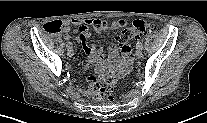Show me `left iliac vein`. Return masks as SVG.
Masks as SVG:
<instances>
[{"label": "left iliac vein", "mask_w": 207, "mask_h": 123, "mask_svg": "<svg viewBox=\"0 0 207 123\" xmlns=\"http://www.w3.org/2000/svg\"><path fill=\"white\" fill-rule=\"evenodd\" d=\"M136 57L141 58L142 57V48L137 47L136 49Z\"/></svg>", "instance_id": "4c4485c4"}]
</instances>
